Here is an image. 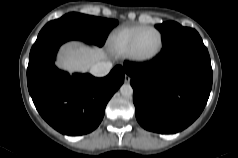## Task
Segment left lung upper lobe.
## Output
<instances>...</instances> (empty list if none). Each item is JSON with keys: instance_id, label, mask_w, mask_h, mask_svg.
Instances as JSON below:
<instances>
[{"instance_id": "obj_1", "label": "left lung upper lobe", "mask_w": 238, "mask_h": 158, "mask_svg": "<svg viewBox=\"0 0 238 158\" xmlns=\"http://www.w3.org/2000/svg\"><path fill=\"white\" fill-rule=\"evenodd\" d=\"M156 28L162 33V41L164 48L179 41L181 39L195 35L197 32L192 28L182 27L180 24L168 21Z\"/></svg>"}]
</instances>
